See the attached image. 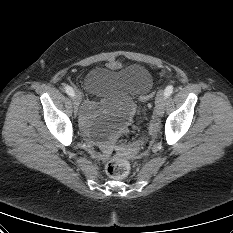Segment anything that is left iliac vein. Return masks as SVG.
<instances>
[{"label": "left iliac vein", "mask_w": 233, "mask_h": 233, "mask_svg": "<svg viewBox=\"0 0 233 233\" xmlns=\"http://www.w3.org/2000/svg\"><path fill=\"white\" fill-rule=\"evenodd\" d=\"M166 96L163 90H160L155 99V112L158 117H162L164 113Z\"/></svg>", "instance_id": "left-iliac-vein-1"}]
</instances>
